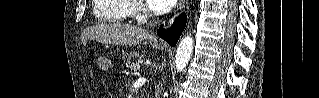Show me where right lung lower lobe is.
<instances>
[{
    "label": "right lung lower lobe",
    "instance_id": "98d812e1",
    "mask_svg": "<svg viewBox=\"0 0 319 98\" xmlns=\"http://www.w3.org/2000/svg\"><path fill=\"white\" fill-rule=\"evenodd\" d=\"M185 25H186V15L182 14L175 19V22L169 29L168 34L165 33L164 29H162V26L157 31V33L161 38L166 40L170 45L175 46L182 31L185 28Z\"/></svg>",
    "mask_w": 319,
    "mask_h": 98
}]
</instances>
